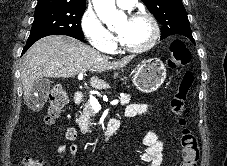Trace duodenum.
<instances>
[{
    "mask_svg": "<svg viewBox=\"0 0 227 166\" xmlns=\"http://www.w3.org/2000/svg\"><path fill=\"white\" fill-rule=\"evenodd\" d=\"M84 101V97L81 93H77L74 97V104L79 105ZM118 128V121L115 118L109 120L107 127L104 131V137H111Z\"/></svg>",
    "mask_w": 227,
    "mask_h": 166,
    "instance_id": "410a0bca",
    "label": "duodenum"
}]
</instances>
